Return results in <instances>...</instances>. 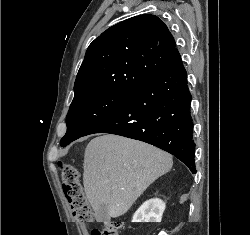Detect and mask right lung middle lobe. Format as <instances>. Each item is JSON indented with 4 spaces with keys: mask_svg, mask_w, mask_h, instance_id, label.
Instances as JSON below:
<instances>
[{
    "mask_svg": "<svg viewBox=\"0 0 250 235\" xmlns=\"http://www.w3.org/2000/svg\"><path fill=\"white\" fill-rule=\"evenodd\" d=\"M134 92L95 91L74 99L66 123L67 132L60 145L65 147L84 136L94 126L116 112Z\"/></svg>",
    "mask_w": 250,
    "mask_h": 235,
    "instance_id": "obj_1",
    "label": "right lung middle lobe"
}]
</instances>
